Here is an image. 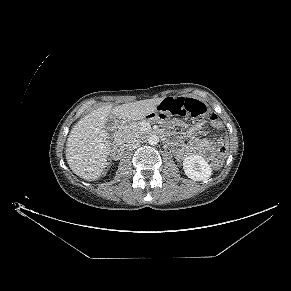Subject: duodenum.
<instances>
[{
	"instance_id": "duodenum-1",
	"label": "duodenum",
	"mask_w": 291,
	"mask_h": 291,
	"mask_svg": "<svg viewBox=\"0 0 291 291\" xmlns=\"http://www.w3.org/2000/svg\"><path fill=\"white\" fill-rule=\"evenodd\" d=\"M152 135L160 136L162 133L160 131H154L151 133ZM124 151V142L121 139L116 140L113 145L112 155L115 159L121 158Z\"/></svg>"
}]
</instances>
